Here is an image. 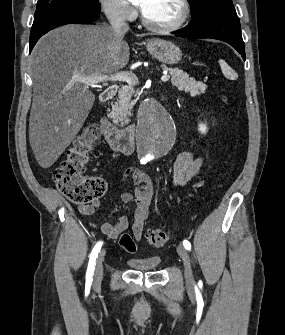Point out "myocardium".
Listing matches in <instances>:
<instances>
[{
  "label": "myocardium",
  "mask_w": 285,
  "mask_h": 335,
  "mask_svg": "<svg viewBox=\"0 0 285 335\" xmlns=\"http://www.w3.org/2000/svg\"><path fill=\"white\" fill-rule=\"evenodd\" d=\"M176 2L180 5L183 11L181 18L176 23L169 26L156 27L151 23H149L142 13L140 17L142 26L147 31L155 34H167L180 30L183 27V25L188 21L191 11L188 1H176Z\"/></svg>",
  "instance_id": "obj_1"
}]
</instances>
